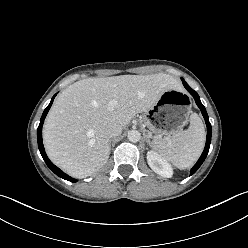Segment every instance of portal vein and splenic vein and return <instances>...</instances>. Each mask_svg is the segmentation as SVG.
<instances>
[{
  "mask_svg": "<svg viewBox=\"0 0 248 248\" xmlns=\"http://www.w3.org/2000/svg\"><path fill=\"white\" fill-rule=\"evenodd\" d=\"M116 105H117V101L115 99H112L109 101L108 109L113 110Z\"/></svg>",
  "mask_w": 248,
  "mask_h": 248,
  "instance_id": "obj_1",
  "label": "portal vein and splenic vein"
}]
</instances>
